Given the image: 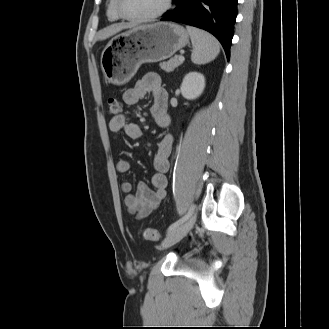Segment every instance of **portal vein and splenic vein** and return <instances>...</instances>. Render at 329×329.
<instances>
[{
    "label": "portal vein and splenic vein",
    "instance_id": "portal-vein-and-splenic-vein-1",
    "mask_svg": "<svg viewBox=\"0 0 329 329\" xmlns=\"http://www.w3.org/2000/svg\"><path fill=\"white\" fill-rule=\"evenodd\" d=\"M179 61L183 62L184 61V57L183 56H179Z\"/></svg>",
    "mask_w": 329,
    "mask_h": 329
}]
</instances>
